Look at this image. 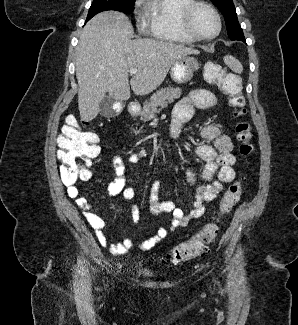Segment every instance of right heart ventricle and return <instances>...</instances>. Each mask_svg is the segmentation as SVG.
<instances>
[{
	"label": "right heart ventricle",
	"instance_id": "1",
	"mask_svg": "<svg viewBox=\"0 0 298 325\" xmlns=\"http://www.w3.org/2000/svg\"><path fill=\"white\" fill-rule=\"evenodd\" d=\"M189 0H153L147 1L146 9L152 34L159 41H180V46L195 44V41L183 34L177 26L179 10Z\"/></svg>",
	"mask_w": 298,
	"mask_h": 325
}]
</instances>
